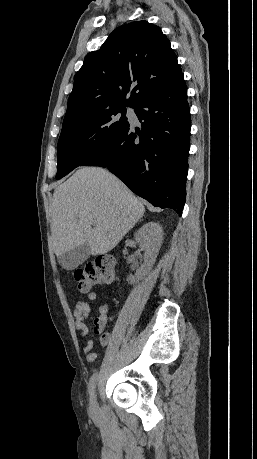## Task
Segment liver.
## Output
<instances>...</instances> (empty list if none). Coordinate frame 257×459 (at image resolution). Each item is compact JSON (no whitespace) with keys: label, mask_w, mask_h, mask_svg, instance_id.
I'll return each instance as SVG.
<instances>
[{"label":"liver","mask_w":257,"mask_h":459,"mask_svg":"<svg viewBox=\"0 0 257 459\" xmlns=\"http://www.w3.org/2000/svg\"><path fill=\"white\" fill-rule=\"evenodd\" d=\"M144 205L113 174L83 167L54 191L51 235L58 256L84 243L90 254L111 251L144 215Z\"/></svg>","instance_id":"liver-1"}]
</instances>
